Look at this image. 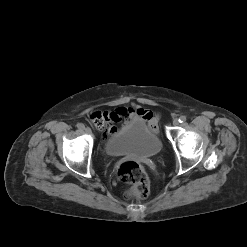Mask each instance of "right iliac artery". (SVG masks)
<instances>
[{
  "mask_svg": "<svg viewBox=\"0 0 247 247\" xmlns=\"http://www.w3.org/2000/svg\"><path fill=\"white\" fill-rule=\"evenodd\" d=\"M77 127H78L79 129H84V128H85L84 124H82V123H78V124H77Z\"/></svg>",
  "mask_w": 247,
  "mask_h": 247,
  "instance_id": "obj_1",
  "label": "right iliac artery"
}]
</instances>
